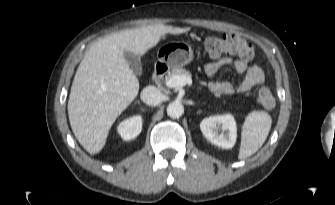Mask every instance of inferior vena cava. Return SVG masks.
Listing matches in <instances>:
<instances>
[{"instance_id": "602c4592", "label": "inferior vena cava", "mask_w": 335, "mask_h": 205, "mask_svg": "<svg viewBox=\"0 0 335 205\" xmlns=\"http://www.w3.org/2000/svg\"><path fill=\"white\" fill-rule=\"evenodd\" d=\"M140 97L147 105L156 106L162 102L163 95L156 87L147 86L142 90Z\"/></svg>"}]
</instances>
